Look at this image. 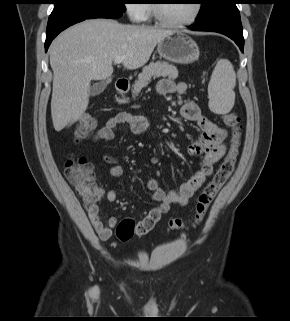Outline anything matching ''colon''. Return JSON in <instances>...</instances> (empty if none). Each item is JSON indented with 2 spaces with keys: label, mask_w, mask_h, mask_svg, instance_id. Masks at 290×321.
Instances as JSON below:
<instances>
[{
  "label": "colon",
  "mask_w": 290,
  "mask_h": 321,
  "mask_svg": "<svg viewBox=\"0 0 290 321\" xmlns=\"http://www.w3.org/2000/svg\"><path fill=\"white\" fill-rule=\"evenodd\" d=\"M223 118L224 122L232 128L230 147L218 170L197 197L194 227L204 220L210 205L235 168L241 143V120L234 112L225 114ZM95 126V120L91 115H83L75 130V140L80 141L88 137ZM64 174L86 208L97 203L101 197V188L96 182L93 165L85 157L70 156L65 162ZM169 227L172 230H180L185 227V224L181 219L175 218L170 220ZM136 233V224L132 219L122 220L117 227V236L121 241L129 240Z\"/></svg>",
  "instance_id": "obj_1"
}]
</instances>
